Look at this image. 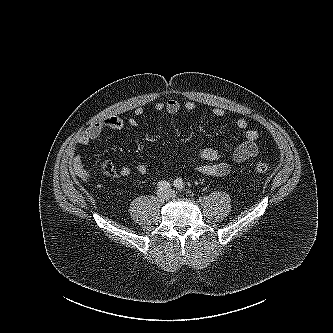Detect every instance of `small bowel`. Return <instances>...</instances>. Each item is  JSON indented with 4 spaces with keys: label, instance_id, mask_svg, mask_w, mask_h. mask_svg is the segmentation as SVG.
<instances>
[{
    "label": "small bowel",
    "instance_id": "c3829d8e",
    "mask_svg": "<svg viewBox=\"0 0 333 333\" xmlns=\"http://www.w3.org/2000/svg\"><path fill=\"white\" fill-rule=\"evenodd\" d=\"M154 108L159 113L166 112L170 115H176L182 109H185L187 112H193L196 109V105L193 101H187L182 105L176 99H169L166 102H157ZM211 112L212 115L217 118L224 116V110L219 107L213 108ZM134 114L136 117H141L143 115V109L140 107L136 108ZM137 124L136 118L124 120L118 116H112L89 126L78 139V143L85 146L99 138L107 130L120 131L127 126L136 127ZM235 125L244 132L245 140L234 149L232 161H224L221 152L218 150L210 148L204 149L196 154L192 160V166L196 171L207 176L224 177L232 172L234 166L246 162L259 153V147L256 142L258 139V131L254 128H248V122L243 117L237 118ZM99 169L104 175L110 178H125L132 173L143 175L147 172V166L144 163L125 165L120 169H116L111 162L105 161L100 164ZM69 170L74 176L85 179L92 177V173L83 166L82 159L79 155L70 159Z\"/></svg>",
    "mask_w": 333,
    "mask_h": 333
}]
</instances>
